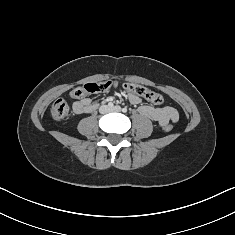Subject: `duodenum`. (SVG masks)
<instances>
[{
  "label": "duodenum",
  "instance_id": "obj_1",
  "mask_svg": "<svg viewBox=\"0 0 235 235\" xmlns=\"http://www.w3.org/2000/svg\"><path fill=\"white\" fill-rule=\"evenodd\" d=\"M96 109V106H92L91 107V111L95 110Z\"/></svg>",
  "mask_w": 235,
  "mask_h": 235
}]
</instances>
